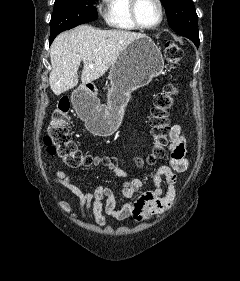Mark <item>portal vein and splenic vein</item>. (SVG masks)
Returning <instances> with one entry per match:
<instances>
[{"label": "portal vein and splenic vein", "mask_w": 240, "mask_h": 281, "mask_svg": "<svg viewBox=\"0 0 240 281\" xmlns=\"http://www.w3.org/2000/svg\"><path fill=\"white\" fill-rule=\"evenodd\" d=\"M90 67H91V68H93V65H92V64H90Z\"/></svg>", "instance_id": "1"}]
</instances>
